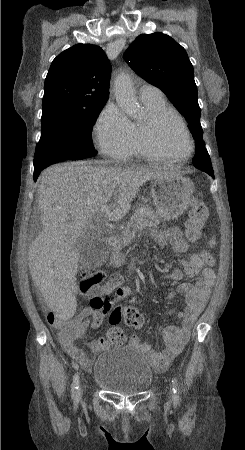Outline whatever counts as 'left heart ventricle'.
Instances as JSON below:
<instances>
[{"mask_svg":"<svg viewBox=\"0 0 245 450\" xmlns=\"http://www.w3.org/2000/svg\"><path fill=\"white\" fill-rule=\"evenodd\" d=\"M159 141L163 149L174 156L185 155L190 150L184 132L173 121H168L161 129Z\"/></svg>","mask_w":245,"mask_h":450,"instance_id":"left-heart-ventricle-1","label":"left heart ventricle"}]
</instances>
